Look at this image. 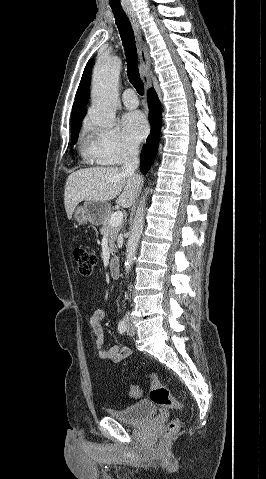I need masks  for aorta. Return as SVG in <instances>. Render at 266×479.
Segmentation results:
<instances>
[{
	"label": "aorta",
	"mask_w": 266,
	"mask_h": 479,
	"mask_svg": "<svg viewBox=\"0 0 266 479\" xmlns=\"http://www.w3.org/2000/svg\"><path fill=\"white\" fill-rule=\"evenodd\" d=\"M120 71L121 60L115 56L99 59L94 69L89 116L93 123L103 128H112L114 125ZM142 230L143 222L140 215L130 230L127 241L124 267L128 275L134 264Z\"/></svg>",
	"instance_id": "762f6f07"
}]
</instances>
